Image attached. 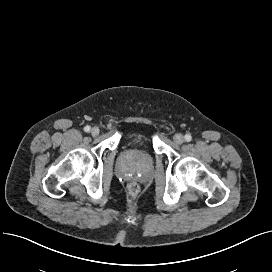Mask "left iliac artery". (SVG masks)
I'll list each match as a JSON object with an SVG mask.
<instances>
[{"mask_svg": "<svg viewBox=\"0 0 272 272\" xmlns=\"http://www.w3.org/2000/svg\"><path fill=\"white\" fill-rule=\"evenodd\" d=\"M184 138H185V140H186L187 142L191 141V139H192V137H191L190 134H186Z\"/></svg>", "mask_w": 272, "mask_h": 272, "instance_id": "left-iliac-artery-1", "label": "left iliac artery"}]
</instances>
